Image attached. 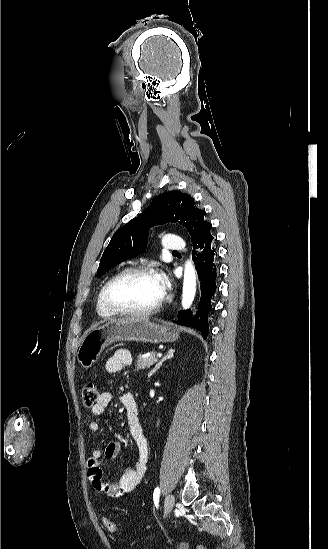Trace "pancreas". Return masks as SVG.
Here are the masks:
<instances>
[{
  "label": "pancreas",
  "mask_w": 328,
  "mask_h": 549,
  "mask_svg": "<svg viewBox=\"0 0 328 549\" xmlns=\"http://www.w3.org/2000/svg\"><path fill=\"white\" fill-rule=\"evenodd\" d=\"M154 363H157L155 351L150 353L149 357H137L136 367L137 369H149Z\"/></svg>",
  "instance_id": "1"
}]
</instances>
